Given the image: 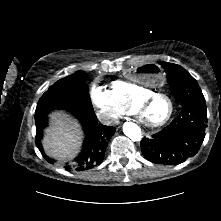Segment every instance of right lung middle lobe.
Listing matches in <instances>:
<instances>
[{
    "instance_id": "1",
    "label": "right lung middle lobe",
    "mask_w": 221,
    "mask_h": 221,
    "mask_svg": "<svg viewBox=\"0 0 221 221\" xmlns=\"http://www.w3.org/2000/svg\"><path fill=\"white\" fill-rule=\"evenodd\" d=\"M84 73H77V77H65L50 86L38 101L35 121L46 117L52 109H66L81 114L93 111L88 86L81 79Z\"/></svg>"
}]
</instances>
